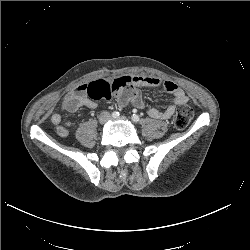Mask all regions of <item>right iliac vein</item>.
I'll return each mask as SVG.
<instances>
[{
    "label": "right iliac vein",
    "instance_id": "obj_1",
    "mask_svg": "<svg viewBox=\"0 0 250 250\" xmlns=\"http://www.w3.org/2000/svg\"><path fill=\"white\" fill-rule=\"evenodd\" d=\"M109 119V114L107 112H103L99 115L98 121L101 125H103Z\"/></svg>",
    "mask_w": 250,
    "mask_h": 250
}]
</instances>
